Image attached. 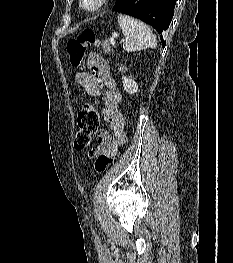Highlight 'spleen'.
Returning <instances> with one entry per match:
<instances>
[{
  "label": "spleen",
  "mask_w": 233,
  "mask_h": 263,
  "mask_svg": "<svg viewBox=\"0 0 233 263\" xmlns=\"http://www.w3.org/2000/svg\"><path fill=\"white\" fill-rule=\"evenodd\" d=\"M118 24L125 36L123 49L126 52L156 48V37L145 23L128 15L119 14Z\"/></svg>",
  "instance_id": "3e777b00"
}]
</instances>
